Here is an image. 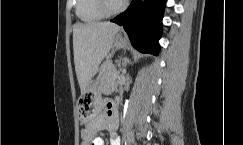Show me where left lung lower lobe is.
<instances>
[{
  "label": "left lung lower lobe",
  "mask_w": 243,
  "mask_h": 145,
  "mask_svg": "<svg viewBox=\"0 0 243 145\" xmlns=\"http://www.w3.org/2000/svg\"><path fill=\"white\" fill-rule=\"evenodd\" d=\"M166 0H132L128 9L111 21L124 27L133 46L143 53L158 55Z\"/></svg>",
  "instance_id": "left-lung-lower-lobe-1"
}]
</instances>
